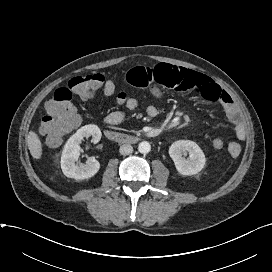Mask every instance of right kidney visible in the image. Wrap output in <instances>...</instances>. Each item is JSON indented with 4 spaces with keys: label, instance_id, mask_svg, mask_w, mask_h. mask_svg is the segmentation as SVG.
Returning <instances> with one entry per match:
<instances>
[{
    "label": "right kidney",
    "instance_id": "1",
    "mask_svg": "<svg viewBox=\"0 0 272 272\" xmlns=\"http://www.w3.org/2000/svg\"><path fill=\"white\" fill-rule=\"evenodd\" d=\"M101 131L96 125H85L66 142L61 156V169L66 177L84 180L93 177L100 169L95 158H89L86 164H76L80 156V143L84 138L92 137L93 143L101 139Z\"/></svg>",
    "mask_w": 272,
    "mask_h": 272
}]
</instances>
